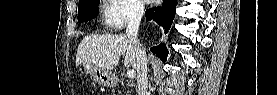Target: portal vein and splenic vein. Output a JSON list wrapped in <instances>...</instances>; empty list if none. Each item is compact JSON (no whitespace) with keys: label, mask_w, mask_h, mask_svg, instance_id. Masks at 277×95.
Here are the masks:
<instances>
[{"label":"portal vein and splenic vein","mask_w":277,"mask_h":95,"mask_svg":"<svg viewBox=\"0 0 277 95\" xmlns=\"http://www.w3.org/2000/svg\"><path fill=\"white\" fill-rule=\"evenodd\" d=\"M135 76H136V72L134 70H128L127 77L129 79H133V78H135Z\"/></svg>","instance_id":"18ae733b"}]
</instances>
